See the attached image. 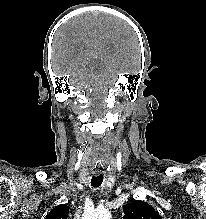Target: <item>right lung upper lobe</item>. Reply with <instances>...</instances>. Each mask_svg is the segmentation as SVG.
Returning a JSON list of instances; mask_svg holds the SVG:
<instances>
[{
	"label": "right lung upper lobe",
	"mask_w": 206,
	"mask_h": 219,
	"mask_svg": "<svg viewBox=\"0 0 206 219\" xmlns=\"http://www.w3.org/2000/svg\"><path fill=\"white\" fill-rule=\"evenodd\" d=\"M69 208L66 204H61L52 209L45 219H67Z\"/></svg>",
	"instance_id": "obj_1"
}]
</instances>
